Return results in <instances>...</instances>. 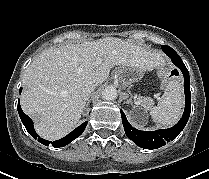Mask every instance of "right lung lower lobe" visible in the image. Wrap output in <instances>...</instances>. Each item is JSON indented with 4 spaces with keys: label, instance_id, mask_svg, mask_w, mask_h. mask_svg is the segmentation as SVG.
Listing matches in <instances>:
<instances>
[{
    "label": "right lung lower lobe",
    "instance_id": "98d812e1",
    "mask_svg": "<svg viewBox=\"0 0 209 179\" xmlns=\"http://www.w3.org/2000/svg\"><path fill=\"white\" fill-rule=\"evenodd\" d=\"M22 89H20V93H21ZM18 113L19 116L21 118L22 123L24 124L26 130L28 131V133L34 138L37 139L40 143L49 146V144H52L53 147H63L66 146L67 144H69L70 142H72L74 139H76L77 137H79L83 131L86 128L87 125V121H85L84 123H82L80 126H78L76 129H74L71 133H69L67 136H65L62 139L56 140V141H47L44 140L43 138H40L38 136V134L35 132L34 127H33V122L31 120L30 117H28L21 109L20 107V103L18 102Z\"/></svg>",
    "mask_w": 209,
    "mask_h": 179
}]
</instances>
